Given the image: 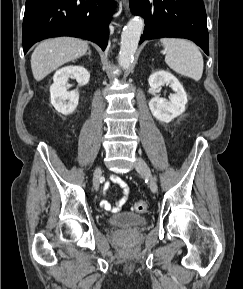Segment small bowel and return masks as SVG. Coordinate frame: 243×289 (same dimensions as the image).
Returning <instances> with one entry per match:
<instances>
[{
  "mask_svg": "<svg viewBox=\"0 0 243 289\" xmlns=\"http://www.w3.org/2000/svg\"><path fill=\"white\" fill-rule=\"evenodd\" d=\"M111 184H115L121 188L123 196L114 205L107 200H103L101 201V207L108 212L114 213L121 211L125 206L129 194V187L123 179L116 175L111 176L110 180L105 185V190H107Z\"/></svg>",
  "mask_w": 243,
  "mask_h": 289,
  "instance_id": "small-bowel-1",
  "label": "small bowel"
}]
</instances>
